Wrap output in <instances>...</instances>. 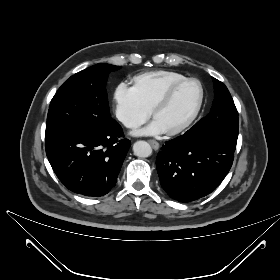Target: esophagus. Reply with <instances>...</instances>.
I'll use <instances>...</instances> for the list:
<instances>
[{
	"label": "esophagus",
	"mask_w": 280,
	"mask_h": 280,
	"mask_svg": "<svg viewBox=\"0 0 280 280\" xmlns=\"http://www.w3.org/2000/svg\"><path fill=\"white\" fill-rule=\"evenodd\" d=\"M148 143L152 146L154 150H158L160 147L159 143L155 140H148Z\"/></svg>",
	"instance_id": "1"
}]
</instances>
